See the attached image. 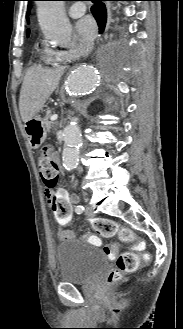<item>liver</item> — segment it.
I'll list each match as a JSON object with an SVG mask.
<instances>
[{"label":"liver","instance_id":"obj_1","mask_svg":"<svg viewBox=\"0 0 183 329\" xmlns=\"http://www.w3.org/2000/svg\"><path fill=\"white\" fill-rule=\"evenodd\" d=\"M63 69H48L40 65L30 67L20 91L19 110L25 123L34 117L56 89Z\"/></svg>","mask_w":183,"mask_h":329}]
</instances>
